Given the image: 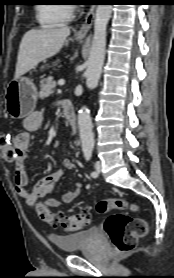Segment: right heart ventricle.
Instances as JSON below:
<instances>
[{
    "mask_svg": "<svg viewBox=\"0 0 174 278\" xmlns=\"http://www.w3.org/2000/svg\"><path fill=\"white\" fill-rule=\"evenodd\" d=\"M72 7L67 4L45 3L37 7V20L44 28L68 23L72 18Z\"/></svg>",
    "mask_w": 174,
    "mask_h": 278,
    "instance_id": "right-heart-ventricle-1",
    "label": "right heart ventricle"
}]
</instances>
